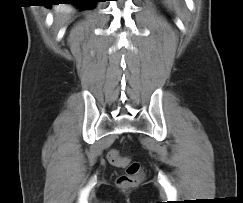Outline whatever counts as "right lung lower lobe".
Masks as SVG:
<instances>
[{"mask_svg": "<svg viewBox=\"0 0 243 203\" xmlns=\"http://www.w3.org/2000/svg\"><path fill=\"white\" fill-rule=\"evenodd\" d=\"M60 1L61 2H59V3L80 4L81 6L87 8V9H91L94 7L95 2H100L103 0H60ZM46 6H49V5H46Z\"/></svg>", "mask_w": 243, "mask_h": 203, "instance_id": "right-lung-lower-lobe-1", "label": "right lung lower lobe"}]
</instances>
